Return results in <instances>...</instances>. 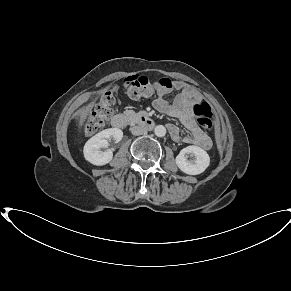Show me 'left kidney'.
Instances as JSON below:
<instances>
[{
    "instance_id": "1",
    "label": "left kidney",
    "mask_w": 291,
    "mask_h": 291,
    "mask_svg": "<svg viewBox=\"0 0 291 291\" xmlns=\"http://www.w3.org/2000/svg\"><path fill=\"white\" fill-rule=\"evenodd\" d=\"M188 154H192L195 159L188 160ZM175 161L178 168L182 172L188 175H198L208 168L210 164V157L202 148L191 145L182 149L177 155Z\"/></svg>"
}]
</instances>
